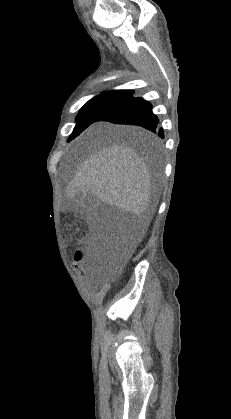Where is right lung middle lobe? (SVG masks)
<instances>
[{
    "mask_svg": "<svg viewBox=\"0 0 231 419\" xmlns=\"http://www.w3.org/2000/svg\"><path fill=\"white\" fill-rule=\"evenodd\" d=\"M132 90H111L89 100L76 117V126L69 141L78 136L89 125L96 122L105 112L123 103L133 95Z\"/></svg>",
    "mask_w": 231,
    "mask_h": 419,
    "instance_id": "dd1d6c3e",
    "label": "right lung middle lobe"
}]
</instances>
